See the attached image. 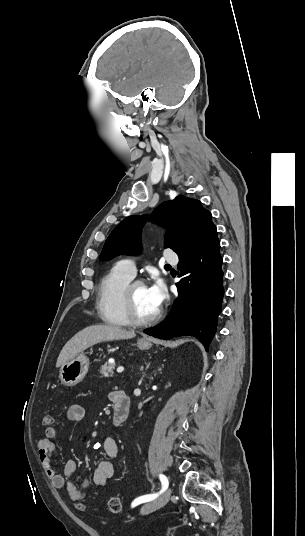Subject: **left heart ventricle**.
<instances>
[{
  "mask_svg": "<svg viewBox=\"0 0 305 536\" xmlns=\"http://www.w3.org/2000/svg\"><path fill=\"white\" fill-rule=\"evenodd\" d=\"M131 300L135 310L143 316L151 315L157 310L150 304L146 285H135L131 290Z\"/></svg>",
  "mask_w": 305,
  "mask_h": 536,
  "instance_id": "left-heart-ventricle-1",
  "label": "left heart ventricle"
}]
</instances>
